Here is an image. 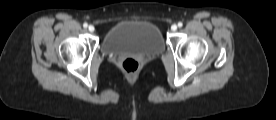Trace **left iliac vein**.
<instances>
[{"instance_id": "left-iliac-vein-1", "label": "left iliac vein", "mask_w": 276, "mask_h": 120, "mask_svg": "<svg viewBox=\"0 0 276 120\" xmlns=\"http://www.w3.org/2000/svg\"><path fill=\"white\" fill-rule=\"evenodd\" d=\"M171 30H172V31H176V30H177V25H176V24H173V25L171 26Z\"/></svg>"}]
</instances>
